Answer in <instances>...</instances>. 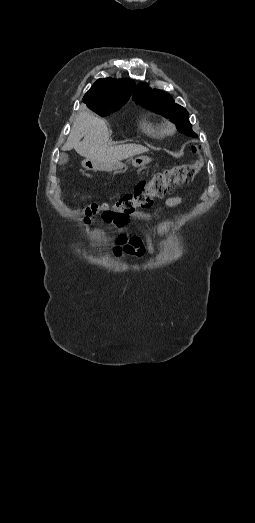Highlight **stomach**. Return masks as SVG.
Listing matches in <instances>:
<instances>
[{"label": "stomach", "mask_w": 255, "mask_h": 523, "mask_svg": "<svg viewBox=\"0 0 255 523\" xmlns=\"http://www.w3.org/2000/svg\"><path fill=\"white\" fill-rule=\"evenodd\" d=\"M149 162L150 158H147V156H138V158L132 160V166H134V168H143V166H146Z\"/></svg>", "instance_id": "stomach-1"}]
</instances>
